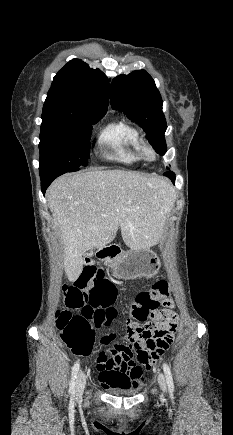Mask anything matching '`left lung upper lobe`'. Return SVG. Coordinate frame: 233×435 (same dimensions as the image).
<instances>
[{
  "label": "left lung upper lobe",
  "mask_w": 233,
  "mask_h": 435,
  "mask_svg": "<svg viewBox=\"0 0 233 435\" xmlns=\"http://www.w3.org/2000/svg\"><path fill=\"white\" fill-rule=\"evenodd\" d=\"M110 101L114 110L124 112L139 124L157 153L165 154L167 124L162 112L163 102L154 80L145 70L114 78L110 86Z\"/></svg>",
  "instance_id": "obj_1"
}]
</instances>
